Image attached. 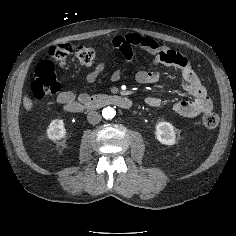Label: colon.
I'll list each match as a JSON object with an SVG mask.
<instances>
[{"instance_id":"5ec220e1","label":"colon","mask_w":236,"mask_h":236,"mask_svg":"<svg viewBox=\"0 0 236 236\" xmlns=\"http://www.w3.org/2000/svg\"><path fill=\"white\" fill-rule=\"evenodd\" d=\"M74 47L70 43H61L50 47L51 58L64 63L73 53ZM79 63L83 66H90L95 57L96 49L91 46H80L75 50ZM61 84L55 73L54 63L50 60L41 61L35 68L34 79L31 83V93L37 99L53 95L60 90ZM203 125L208 129H214L219 124V117L214 112H207L202 117Z\"/></svg>"}]
</instances>
